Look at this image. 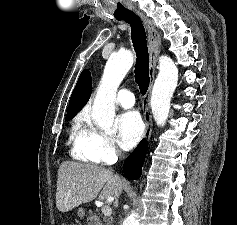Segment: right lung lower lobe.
<instances>
[{
    "mask_svg": "<svg viewBox=\"0 0 237 225\" xmlns=\"http://www.w3.org/2000/svg\"><path fill=\"white\" fill-rule=\"evenodd\" d=\"M147 149V141L143 139L132 154L125 160L123 172L127 179L136 180L140 178Z\"/></svg>",
    "mask_w": 237,
    "mask_h": 225,
    "instance_id": "right-lung-lower-lobe-1",
    "label": "right lung lower lobe"
}]
</instances>
